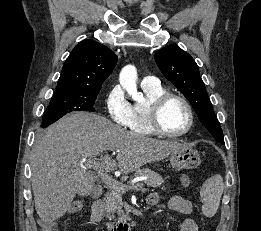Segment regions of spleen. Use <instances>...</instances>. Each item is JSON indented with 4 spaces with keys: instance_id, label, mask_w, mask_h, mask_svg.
I'll use <instances>...</instances> for the list:
<instances>
[{
    "instance_id": "spleen-1",
    "label": "spleen",
    "mask_w": 261,
    "mask_h": 231,
    "mask_svg": "<svg viewBox=\"0 0 261 231\" xmlns=\"http://www.w3.org/2000/svg\"><path fill=\"white\" fill-rule=\"evenodd\" d=\"M223 188V178L218 174L211 176L203 183L200 189V196L204 203L202 212L206 217H212L217 212Z\"/></svg>"
}]
</instances>
